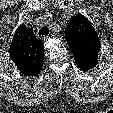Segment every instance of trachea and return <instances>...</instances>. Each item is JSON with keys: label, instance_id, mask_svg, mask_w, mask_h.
Wrapping results in <instances>:
<instances>
[{"label": "trachea", "instance_id": "3493384b", "mask_svg": "<svg viewBox=\"0 0 113 113\" xmlns=\"http://www.w3.org/2000/svg\"><path fill=\"white\" fill-rule=\"evenodd\" d=\"M49 34V28L48 27H42L39 30V36H47Z\"/></svg>", "mask_w": 113, "mask_h": 113}]
</instances>
